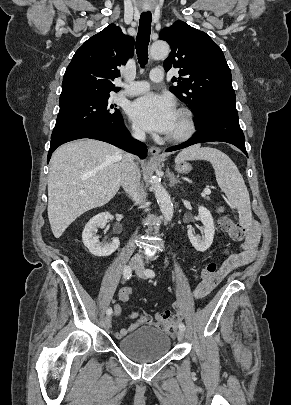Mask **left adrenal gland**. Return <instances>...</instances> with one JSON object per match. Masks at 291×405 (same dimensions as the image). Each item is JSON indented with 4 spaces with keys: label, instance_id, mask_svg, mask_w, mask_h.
I'll return each instance as SVG.
<instances>
[{
    "label": "left adrenal gland",
    "instance_id": "a2214340",
    "mask_svg": "<svg viewBox=\"0 0 291 405\" xmlns=\"http://www.w3.org/2000/svg\"><path fill=\"white\" fill-rule=\"evenodd\" d=\"M167 176L169 178V186L173 187L175 184L180 183L179 180L175 177L174 173L171 172L169 169L167 170Z\"/></svg>",
    "mask_w": 291,
    "mask_h": 405
}]
</instances>
